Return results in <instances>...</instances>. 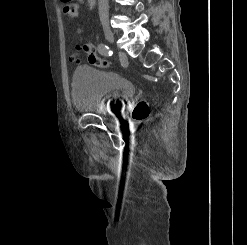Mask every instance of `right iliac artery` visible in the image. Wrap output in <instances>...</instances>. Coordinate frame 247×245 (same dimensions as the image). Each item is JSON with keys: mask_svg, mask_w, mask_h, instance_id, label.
<instances>
[{"mask_svg": "<svg viewBox=\"0 0 247 245\" xmlns=\"http://www.w3.org/2000/svg\"><path fill=\"white\" fill-rule=\"evenodd\" d=\"M97 49L101 55L110 56L112 54V52L110 51L109 47L106 44L103 43L99 44Z\"/></svg>", "mask_w": 247, "mask_h": 245, "instance_id": "right-iliac-artery-1", "label": "right iliac artery"}]
</instances>
